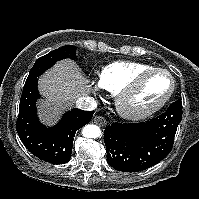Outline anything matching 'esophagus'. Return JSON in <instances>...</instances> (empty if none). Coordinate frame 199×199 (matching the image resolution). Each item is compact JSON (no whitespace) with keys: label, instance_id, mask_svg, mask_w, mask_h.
<instances>
[{"label":"esophagus","instance_id":"esophagus-1","mask_svg":"<svg viewBox=\"0 0 199 199\" xmlns=\"http://www.w3.org/2000/svg\"><path fill=\"white\" fill-rule=\"evenodd\" d=\"M94 123L97 124L100 127H103L106 125V119L102 116H95L94 117Z\"/></svg>","mask_w":199,"mask_h":199}]
</instances>
